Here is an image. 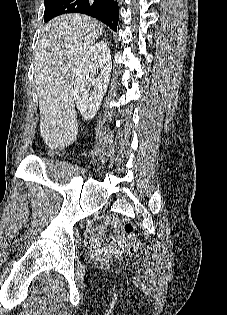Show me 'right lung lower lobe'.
<instances>
[{"label":"right lung lower lobe","mask_w":227,"mask_h":315,"mask_svg":"<svg viewBox=\"0 0 227 315\" xmlns=\"http://www.w3.org/2000/svg\"><path fill=\"white\" fill-rule=\"evenodd\" d=\"M67 13L92 16L117 31L119 21L117 0H54L45 6L44 21Z\"/></svg>","instance_id":"obj_1"}]
</instances>
